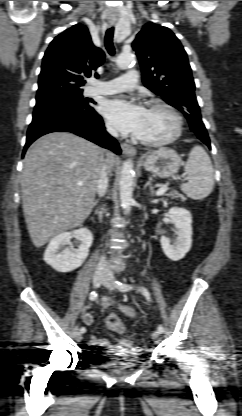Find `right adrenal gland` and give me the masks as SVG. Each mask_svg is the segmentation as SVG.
<instances>
[{"instance_id":"right-adrenal-gland-1","label":"right adrenal gland","mask_w":242,"mask_h":416,"mask_svg":"<svg viewBox=\"0 0 242 416\" xmlns=\"http://www.w3.org/2000/svg\"><path fill=\"white\" fill-rule=\"evenodd\" d=\"M99 202V199L94 201V206L97 205V203Z\"/></svg>"}]
</instances>
